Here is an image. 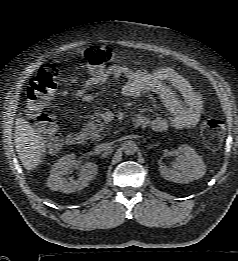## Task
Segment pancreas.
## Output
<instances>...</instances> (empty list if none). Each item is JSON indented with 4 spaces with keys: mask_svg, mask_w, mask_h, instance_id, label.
<instances>
[{
    "mask_svg": "<svg viewBox=\"0 0 238 261\" xmlns=\"http://www.w3.org/2000/svg\"><path fill=\"white\" fill-rule=\"evenodd\" d=\"M106 123L98 117L87 122L83 128V132L92 140L99 141L104 136V129L106 128ZM107 132V131H106Z\"/></svg>",
    "mask_w": 238,
    "mask_h": 261,
    "instance_id": "pancreas-1",
    "label": "pancreas"
}]
</instances>
